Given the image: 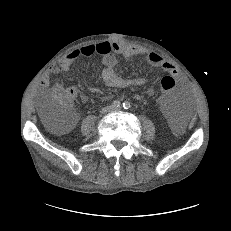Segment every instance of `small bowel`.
I'll return each mask as SVG.
<instances>
[{
  "instance_id": "1",
  "label": "small bowel",
  "mask_w": 231,
  "mask_h": 231,
  "mask_svg": "<svg viewBox=\"0 0 231 231\" xmlns=\"http://www.w3.org/2000/svg\"><path fill=\"white\" fill-rule=\"evenodd\" d=\"M144 53L142 49L131 47L116 42H100L97 44H90L79 49H75L64 57L58 65L52 70L53 74H57L68 70L73 63L80 57H87L94 54L102 56V63L104 68L101 76L104 84L113 88H128L139 87L146 84L147 79L144 76L139 77H123L119 75L115 66L117 64V56H123L126 58H133L140 56ZM146 61L154 67L162 68L169 75H172L175 79L179 77V71L174 64L166 61L158 53L152 52L146 55ZM41 86L47 88L50 86V76L47 75L41 81ZM83 101H87L88 97L85 94L80 95ZM169 98L164 96L160 99V106L163 111L167 112V104ZM75 119L73 121V124ZM72 124V125H73Z\"/></svg>"
}]
</instances>
